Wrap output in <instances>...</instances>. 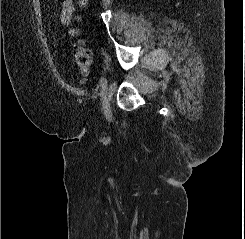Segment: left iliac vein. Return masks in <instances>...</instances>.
<instances>
[{"instance_id":"left-iliac-vein-1","label":"left iliac vein","mask_w":245,"mask_h":239,"mask_svg":"<svg viewBox=\"0 0 245 239\" xmlns=\"http://www.w3.org/2000/svg\"><path fill=\"white\" fill-rule=\"evenodd\" d=\"M107 89H108V84H107V80L105 79L103 85L101 86L100 95H101L102 106L106 113L110 111V105H109V101L107 98Z\"/></svg>"}]
</instances>
